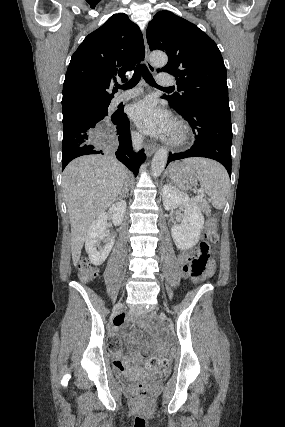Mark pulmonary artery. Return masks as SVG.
<instances>
[{
  "label": "pulmonary artery",
  "mask_w": 285,
  "mask_h": 427,
  "mask_svg": "<svg viewBox=\"0 0 285 427\" xmlns=\"http://www.w3.org/2000/svg\"><path fill=\"white\" fill-rule=\"evenodd\" d=\"M158 83L161 85L171 86L175 83V80L166 73L158 75ZM141 93L140 89H133L127 92H123L115 98L116 103H120L122 101H127Z\"/></svg>",
  "instance_id": "pulmonary-artery-1"
}]
</instances>
